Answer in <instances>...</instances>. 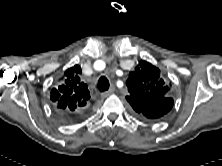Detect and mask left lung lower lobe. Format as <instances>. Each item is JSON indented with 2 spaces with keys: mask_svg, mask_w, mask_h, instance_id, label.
Instances as JSON below:
<instances>
[{
  "mask_svg": "<svg viewBox=\"0 0 222 166\" xmlns=\"http://www.w3.org/2000/svg\"><path fill=\"white\" fill-rule=\"evenodd\" d=\"M163 109L158 110L156 114H150V116L155 119H159L164 116L167 112H169L173 106V99L172 98H164L162 101ZM159 116V117H158ZM154 120V119H152Z\"/></svg>",
  "mask_w": 222,
  "mask_h": 166,
  "instance_id": "left-lung-lower-lobe-1",
  "label": "left lung lower lobe"
}]
</instances>
